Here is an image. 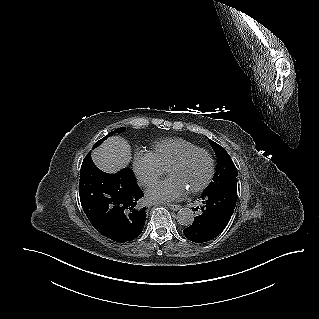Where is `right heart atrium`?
<instances>
[{
  "instance_id": "obj_1",
  "label": "right heart atrium",
  "mask_w": 319,
  "mask_h": 319,
  "mask_svg": "<svg viewBox=\"0 0 319 319\" xmlns=\"http://www.w3.org/2000/svg\"><path fill=\"white\" fill-rule=\"evenodd\" d=\"M133 170L142 186L155 183L165 172L150 152H136L133 158Z\"/></svg>"
}]
</instances>
